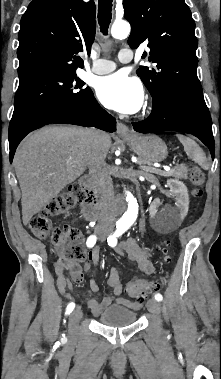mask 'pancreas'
<instances>
[{"mask_svg": "<svg viewBox=\"0 0 221 379\" xmlns=\"http://www.w3.org/2000/svg\"><path fill=\"white\" fill-rule=\"evenodd\" d=\"M138 164L145 165L147 164L144 160L139 159ZM187 167L184 164L176 166L172 171L170 172H162L160 175L164 177H175L180 179H187Z\"/></svg>", "mask_w": 221, "mask_h": 379, "instance_id": "1", "label": "pancreas"}]
</instances>
